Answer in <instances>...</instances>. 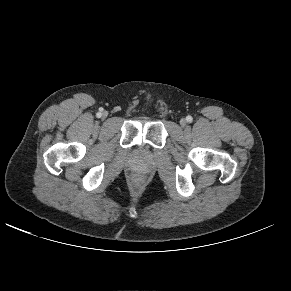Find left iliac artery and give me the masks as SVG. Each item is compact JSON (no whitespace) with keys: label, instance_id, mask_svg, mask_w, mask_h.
<instances>
[{"label":"left iliac artery","instance_id":"obj_1","mask_svg":"<svg viewBox=\"0 0 291 291\" xmlns=\"http://www.w3.org/2000/svg\"><path fill=\"white\" fill-rule=\"evenodd\" d=\"M187 122H192L193 118L191 116L186 117Z\"/></svg>","mask_w":291,"mask_h":291}]
</instances>
